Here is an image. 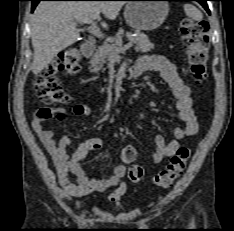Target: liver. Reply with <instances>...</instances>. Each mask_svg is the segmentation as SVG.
Masks as SVG:
<instances>
[{
    "label": "liver",
    "instance_id": "1",
    "mask_svg": "<svg viewBox=\"0 0 234 231\" xmlns=\"http://www.w3.org/2000/svg\"><path fill=\"white\" fill-rule=\"evenodd\" d=\"M123 1H43L32 15V71L40 73L64 49L79 39L78 23L105 18L114 20ZM102 27L107 28L105 22Z\"/></svg>",
    "mask_w": 234,
    "mask_h": 231
}]
</instances>
